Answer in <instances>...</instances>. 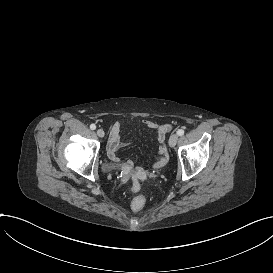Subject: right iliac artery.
<instances>
[{"label": "right iliac artery", "instance_id": "right-iliac-artery-1", "mask_svg": "<svg viewBox=\"0 0 273 273\" xmlns=\"http://www.w3.org/2000/svg\"><path fill=\"white\" fill-rule=\"evenodd\" d=\"M90 129L95 130L96 129V125L95 124H91L90 125Z\"/></svg>", "mask_w": 273, "mask_h": 273}]
</instances>
